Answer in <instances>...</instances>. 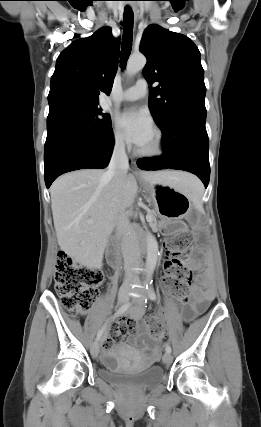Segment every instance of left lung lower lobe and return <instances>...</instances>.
Masks as SVG:
<instances>
[{
    "instance_id": "0a47b994",
    "label": "left lung lower lobe",
    "mask_w": 261,
    "mask_h": 427,
    "mask_svg": "<svg viewBox=\"0 0 261 427\" xmlns=\"http://www.w3.org/2000/svg\"><path fill=\"white\" fill-rule=\"evenodd\" d=\"M206 109H177L160 127L163 133L160 157L137 161L142 170L177 169L197 175L208 186L210 178L209 140L205 128Z\"/></svg>"
}]
</instances>
